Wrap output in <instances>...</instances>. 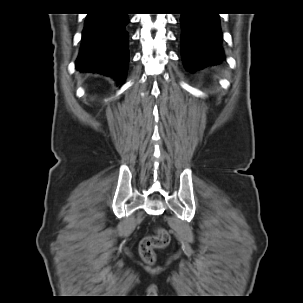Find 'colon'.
I'll return each instance as SVG.
<instances>
[{
	"instance_id": "1",
	"label": "colon",
	"mask_w": 303,
	"mask_h": 303,
	"mask_svg": "<svg viewBox=\"0 0 303 303\" xmlns=\"http://www.w3.org/2000/svg\"><path fill=\"white\" fill-rule=\"evenodd\" d=\"M170 242L169 233L163 228H157L155 235L145 238L140 244V255L146 264L156 261V250L163 249Z\"/></svg>"
}]
</instances>
